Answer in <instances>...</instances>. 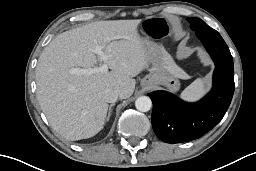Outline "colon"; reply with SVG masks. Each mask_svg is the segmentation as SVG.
<instances>
[{"label": "colon", "instance_id": "obj_1", "mask_svg": "<svg viewBox=\"0 0 256 171\" xmlns=\"http://www.w3.org/2000/svg\"><path fill=\"white\" fill-rule=\"evenodd\" d=\"M146 30L151 36L155 38H160L167 34L168 27L164 22L157 19H153L149 20L146 23Z\"/></svg>", "mask_w": 256, "mask_h": 171}]
</instances>
